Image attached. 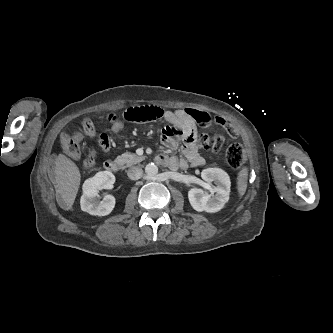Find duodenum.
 I'll return each instance as SVG.
<instances>
[{
  "label": "duodenum",
  "mask_w": 333,
  "mask_h": 333,
  "mask_svg": "<svg viewBox=\"0 0 333 333\" xmlns=\"http://www.w3.org/2000/svg\"><path fill=\"white\" fill-rule=\"evenodd\" d=\"M104 167L107 171L115 173L119 170L120 166L116 160H107L104 163Z\"/></svg>",
  "instance_id": "1"
}]
</instances>
